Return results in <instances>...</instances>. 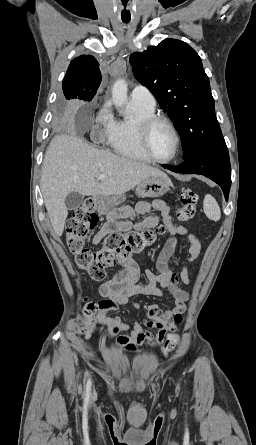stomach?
I'll return each mask as SVG.
<instances>
[{
    "label": "stomach",
    "instance_id": "0dacf381",
    "mask_svg": "<svg viewBox=\"0 0 256 445\" xmlns=\"http://www.w3.org/2000/svg\"><path fill=\"white\" fill-rule=\"evenodd\" d=\"M172 185L167 176L155 175L139 183L136 187V194L142 198H157L163 196L170 190ZM125 201V196L105 197L95 196V208L101 214H106L110 221H116L123 216L121 210L116 208Z\"/></svg>",
    "mask_w": 256,
    "mask_h": 445
}]
</instances>
